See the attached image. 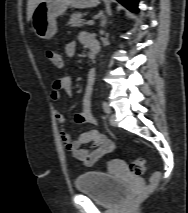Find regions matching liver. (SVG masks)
<instances>
[{
    "label": "liver",
    "instance_id": "6515ba94",
    "mask_svg": "<svg viewBox=\"0 0 188 213\" xmlns=\"http://www.w3.org/2000/svg\"><path fill=\"white\" fill-rule=\"evenodd\" d=\"M40 1L41 0H28V3H27V20L28 21L32 19L34 8Z\"/></svg>",
    "mask_w": 188,
    "mask_h": 213
}]
</instances>
